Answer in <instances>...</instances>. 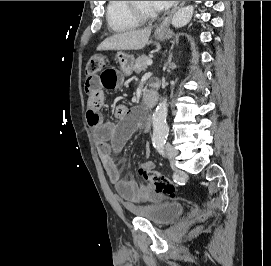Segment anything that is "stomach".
Returning a JSON list of instances; mask_svg holds the SVG:
<instances>
[{
    "label": "stomach",
    "mask_w": 271,
    "mask_h": 266,
    "mask_svg": "<svg viewBox=\"0 0 271 266\" xmlns=\"http://www.w3.org/2000/svg\"><path fill=\"white\" fill-rule=\"evenodd\" d=\"M154 36L157 40L163 41L166 38V33L156 31ZM116 58L120 63L121 70L123 71V73L130 74L134 64V56L124 52H118L116 54Z\"/></svg>",
    "instance_id": "stomach-1"
}]
</instances>
